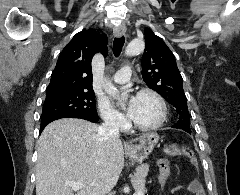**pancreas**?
<instances>
[{
	"label": "pancreas",
	"mask_w": 240,
	"mask_h": 195,
	"mask_svg": "<svg viewBox=\"0 0 240 195\" xmlns=\"http://www.w3.org/2000/svg\"><path fill=\"white\" fill-rule=\"evenodd\" d=\"M149 165L148 163H141V165H137L136 171L134 175L131 177L132 185L138 193V191H146L145 183H146V175H148Z\"/></svg>",
	"instance_id": "1"
}]
</instances>
